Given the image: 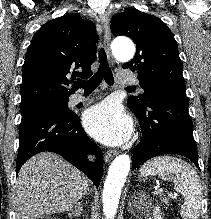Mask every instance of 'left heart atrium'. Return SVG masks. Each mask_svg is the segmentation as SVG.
<instances>
[{"mask_svg": "<svg viewBox=\"0 0 211 219\" xmlns=\"http://www.w3.org/2000/svg\"><path fill=\"white\" fill-rule=\"evenodd\" d=\"M83 124L91 136L107 145H120L132 133L130 118L118 104L111 101L88 109L83 116Z\"/></svg>", "mask_w": 211, "mask_h": 219, "instance_id": "left-heart-atrium-1", "label": "left heart atrium"}]
</instances>
